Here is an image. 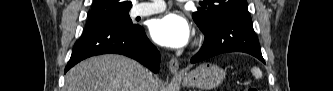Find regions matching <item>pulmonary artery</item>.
<instances>
[{
  "label": "pulmonary artery",
  "instance_id": "obj_1",
  "mask_svg": "<svg viewBox=\"0 0 333 91\" xmlns=\"http://www.w3.org/2000/svg\"><path fill=\"white\" fill-rule=\"evenodd\" d=\"M166 9L164 1L155 0L151 2H143L135 6L134 13L138 16H150L163 12Z\"/></svg>",
  "mask_w": 333,
  "mask_h": 91
}]
</instances>
